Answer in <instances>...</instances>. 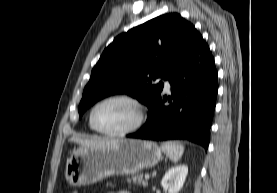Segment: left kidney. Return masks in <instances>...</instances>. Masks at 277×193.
Returning <instances> with one entry per match:
<instances>
[{"instance_id":"1","label":"left kidney","mask_w":277,"mask_h":193,"mask_svg":"<svg viewBox=\"0 0 277 193\" xmlns=\"http://www.w3.org/2000/svg\"><path fill=\"white\" fill-rule=\"evenodd\" d=\"M187 174L188 166L186 164L174 166L165 173L161 185L168 193H178L183 187Z\"/></svg>"}]
</instances>
